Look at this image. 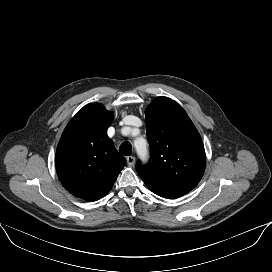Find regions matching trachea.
Segmentation results:
<instances>
[{
  "mask_svg": "<svg viewBox=\"0 0 272 272\" xmlns=\"http://www.w3.org/2000/svg\"><path fill=\"white\" fill-rule=\"evenodd\" d=\"M132 146L130 142H124L119 147V152L125 156L131 155Z\"/></svg>",
  "mask_w": 272,
  "mask_h": 272,
  "instance_id": "obj_1",
  "label": "trachea"
}]
</instances>
